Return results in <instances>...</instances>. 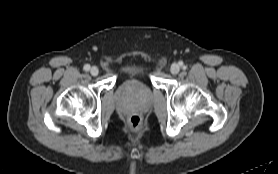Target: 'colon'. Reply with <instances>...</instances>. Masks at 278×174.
Segmentation results:
<instances>
[{"mask_svg": "<svg viewBox=\"0 0 278 174\" xmlns=\"http://www.w3.org/2000/svg\"><path fill=\"white\" fill-rule=\"evenodd\" d=\"M128 125L131 129L138 130L142 125V120L139 116L133 115L128 118Z\"/></svg>", "mask_w": 278, "mask_h": 174, "instance_id": "1", "label": "colon"}]
</instances>
